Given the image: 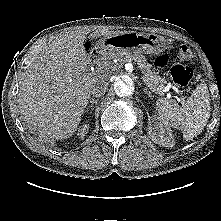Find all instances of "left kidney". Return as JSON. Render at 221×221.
<instances>
[{"mask_svg": "<svg viewBox=\"0 0 221 221\" xmlns=\"http://www.w3.org/2000/svg\"><path fill=\"white\" fill-rule=\"evenodd\" d=\"M148 134L151 140L164 147H173L174 138L171 129L162 121H154L148 125Z\"/></svg>", "mask_w": 221, "mask_h": 221, "instance_id": "5707ae66", "label": "left kidney"}]
</instances>
